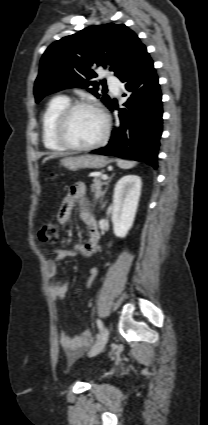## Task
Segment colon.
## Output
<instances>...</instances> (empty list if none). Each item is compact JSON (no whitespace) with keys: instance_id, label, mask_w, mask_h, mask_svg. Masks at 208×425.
I'll list each match as a JSON object with an SVG mask.
<instances>
[{"instance_id":"obj_1","label":"colon","mask_w":208,"mask_h":425,"mask_svg":"<svg viewBox=\"0 0 208 425\" xmlns=\"http://www.w3.org/2000/svg\"><path fill=\"white\" fill-rule=\"evenodd\" d=\"M39 237L42 242L53 244L58 239V230L54 223H45L40 232ZM100 281V272L98 269H90L82 278L78 290L95 288Z\"/></svg>"}]
</instances>
